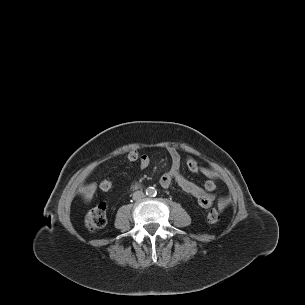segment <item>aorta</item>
I'll list each match as a JSON object with an SVG mask.
<instances>
[{
	"mask_svg": "<svg viewBox=\"0 0 305 305\" xmlns=\"http://www.w3.org/2000/svg\"><path fill=\"white\" fill-rule=\"evenodd\" d=\"M146 194L148 196H154V195H156V189L154 187H148L146 189Z\"/></svg>",
	"mask_w": 305,
	"mask_h": 305,
	"instance_id": "762f6f07",
	"label": "aorta"
}]
</instances>
